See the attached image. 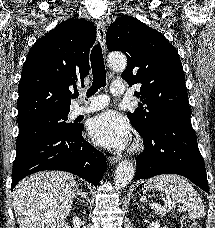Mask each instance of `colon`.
<instances>
[{
  "label": "colon",
  "instance_id": "obj_1",
  "mask_svg": "<svg viewBox=\"0 0 215 228\" xmlns=\"http://www.w3.org/2000/svg\"><path fill=\"white\" fill-rule=\"evenodd\" d=\"M178 223L180 228H199L198 223L186 215L181 216Z\"/></svg>",
  "mask_w": 215,
  "mask_h": 228
}]
</instances>
